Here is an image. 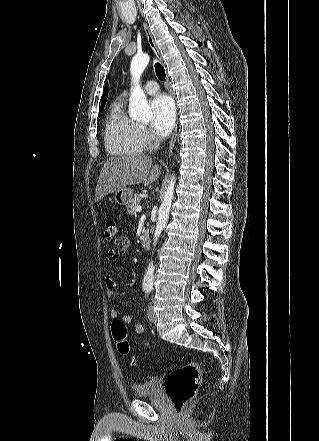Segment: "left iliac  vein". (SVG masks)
I'll use <instances>...</instances> for the list:
<instances>
[{
    "mask_svg": "<svg viewBox=\"0 0 319 441\" xmlns=\"http://www.w3.org/2000/svg\"><path fill=\"white\" fill-rule=\"evenodd\" d=\"M147 315H148V319L151 322H154V323L157 322V316H156V313H155V311H154L152 306H149Z\"/></svg>",
    "mask_w": 319,
    "mask_h": 441,
    "instance_id": "left-iliac-vein-1",
    "label": "left iliac vein"
}]
</instances>
